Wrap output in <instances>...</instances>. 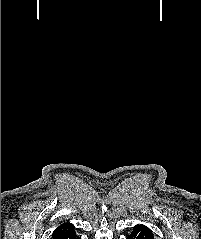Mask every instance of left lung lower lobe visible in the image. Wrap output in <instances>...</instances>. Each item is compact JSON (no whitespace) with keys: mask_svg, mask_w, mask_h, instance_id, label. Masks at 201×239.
<instances>
[{"mask_svg":"<svg viewBox=\"0 0 201 239\" xmlns=\"http://www.w3.org/2000/svg\"><path fill=\"white\" fill-rule=\"evenodd\" d=\"M127 239H154V235L147 226L136 225Z\"/></svg>","mask_w":201,"mask_h":239,"instance_id":"left-lung-lower-lobe-1","label":"left lung lower lobe"}]
</instances>
